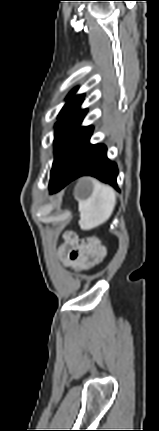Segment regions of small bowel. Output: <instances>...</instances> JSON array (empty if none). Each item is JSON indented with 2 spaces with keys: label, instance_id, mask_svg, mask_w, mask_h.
Segmentation results:
<instances>
[{
  "label": "small bowel",
  "instance_id": "c3829d8e",
  "mask_svg": "<svg viewBox=\"0 0 159 431\" xmlns=\"http://www.w3.org/2000/svg\"><path fill=\"white\" fill-rule=\"evenodd\" d=\"M104 236L95 239H80L74 233H67L61 251L65 253L64 263L68 267L83 271L99 264L106 255Z\"/></svg>",
  "mask_w": 159,
  "mask_h": 431
}]
</instances>
